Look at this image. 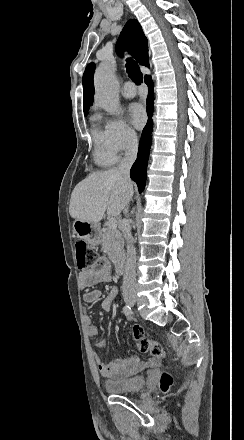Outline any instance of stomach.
Returning <instances> with one entry per match:
<instances>
[{"instance_id":"stomach-1","label":"stomach","mask_w":244,"mask_h":440,"mask_svg":"<svg viewBox=\"0 0 244 440\" xmlns=\"http://www.w3.org/2000/svg\"><path fill=\"white\" fill-rule=\"evenodd\" d=\"M72 228L77 238L84 240L90 246H97L101 232L100 224H91L87 220H75Z\"/></svg>"}]
</instances>
